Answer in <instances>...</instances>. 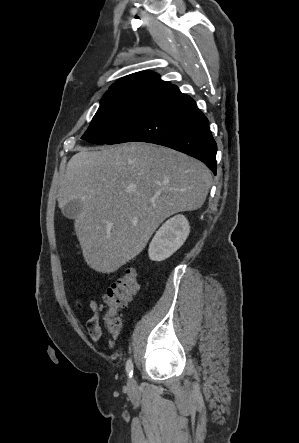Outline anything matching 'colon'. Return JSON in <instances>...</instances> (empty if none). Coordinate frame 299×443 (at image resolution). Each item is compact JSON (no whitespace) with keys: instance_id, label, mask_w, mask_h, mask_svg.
Segmentation results:
<instances>
[{"instance_id":"colon-1","label":"colon","mask_w":299,"mask_h":443,"mask_svg":"<svg viewBox=\"0 0 299 443\" xmlns=\"http://www.w3.org/2000/svg\"><path fill=\"white\" fill-rule=\"evenodd\" d=\"M138 276L134 268H128L124 274L111 284L103 296L107 310L103 315L106 329L117 335L121 329V319L117 312L124 308L138 290Z\"/></svg>"}]
</instances>
